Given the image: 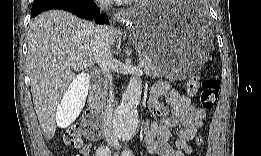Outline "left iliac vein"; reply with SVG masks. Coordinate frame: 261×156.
<instances>
[{
  "label": "left iliac vein",
  "mask_w": 261,
  "mask_h": 156,
  "mask_svg": "<svg viewBox=\"0 0 261 156\" xmlns=\"http://www.w3.org/2000/svg\"><path fill=\"white\" fill-rule=\"evenodd\" d=\"M114 146H115V148H119L120 146H119V144H114Z\"/></svg>",
  "instance_id": "left-iliac-vein-1"
}]
</instances>
